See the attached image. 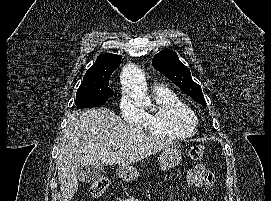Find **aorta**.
I'll return each mask as SVG.
<instances>
[{
  "instance_id": "1",
  "label": "aorta",
  "mask_w": 271,
  "mask_h": 201,
  "mask_svg": "<svg viewBox=\"0 0 271 201\" xmlns=\"http://www.w3.org/2000/svg\"><path fill=\"white\" fill-rule=\"evenodd\" d=\"M122 83L125 90L136 100L146 107H150L151 100L147 92L146 83L141 71L134 65L123 68Z\"/></svg>"
}]
</instances>
